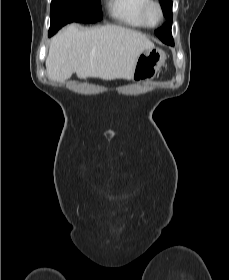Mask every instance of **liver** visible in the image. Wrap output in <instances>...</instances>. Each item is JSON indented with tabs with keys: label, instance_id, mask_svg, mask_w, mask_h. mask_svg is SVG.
Here are the masks:
<instances>
[{
	"label": "liver",
	"instance_id": "6515ba94",
	"mask_svg": "<svg viewBox=\"0 0 229 280\" xmlns=\"http://www.w3.org/2000/svg\"><path fill=\"white\" fill-rule=\"evenodd\" d=\"M154 47L144 34L116 25L64 27L50 42L48 78L63 82L76 73L80 79H132L138 57Z\"/></svg>",
	"mask_w": 229,
	"mask_h": 280
}]
</instances>
